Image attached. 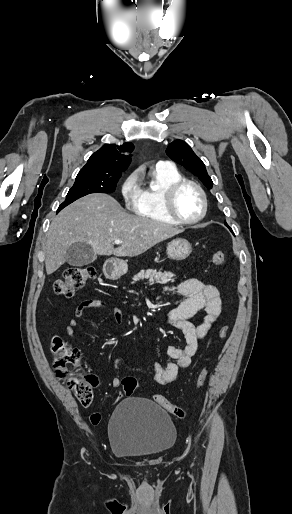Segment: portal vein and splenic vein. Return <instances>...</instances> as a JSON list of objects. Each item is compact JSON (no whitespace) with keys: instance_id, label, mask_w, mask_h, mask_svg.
<instances>
[{"instance_id":"18ae733b","label":"portal vein and splenic vein","mask_w":292,"mask_h":514,"mask_svg":"<svg viewBox=\"0 0 292 514\" xmlns=\"http://www.w3.org/2000/svg\"><path fill=\"white\" fill-rule=\"evenodd\" d=\"M114 244H122L121 240H115Z\"/></svg>"}]
</instances>
